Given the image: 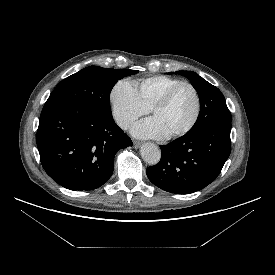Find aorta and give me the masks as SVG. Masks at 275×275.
<instances>
[{"mask_svg":"<svg viewBox=\"0 0 275 275\" xmlns=\"http://www.w3.org/2000/svg\"><path fill=\"white\" fill-rule=\"evenodd\" d=\"M140 154L143 160L150 165H156L161 158L159 147L153 143H145L140 149Z\"/></svg>","mask_w":275,"mask_h":275,"instance_id":"aorta-1","label":"aorta"}]
</instances>
